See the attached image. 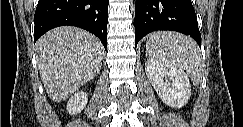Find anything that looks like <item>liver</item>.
Returning a JSON list of instances; mask_svg holds the SVG:
<instances>
[{
    "label": "liver",
    "mask_w": 243,
    "mask_h": 127,
    "mask_svg": "<svg viewBox=\"0 0 243 127\" xmlns=\"http://www.w3.org/2000/svg\"><path fill=\"white\" fill-rule=\"evenodd\" d=\"M37 64L48 96L62 102L99 73L102 45L93 34L77 27H58L36 43Z\"/></svg>",
    "instance_id": "liver-1"
}]
</instances>
